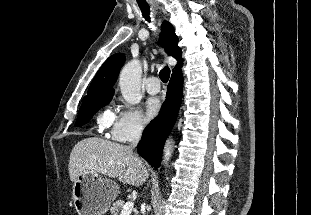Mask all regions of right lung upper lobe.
<instances>
[{
	"instance_id": "1",
	"label": "right lung upper lobe",
	"mask_w": 311,
	"mask_h": 215,
	"mask_svg": "<svg viewBox=\"0 0 311 215\" xmlns=\"http://www.w3.org/2000/svg\"><path fill=\"white\" fill-rule=\"evenodd\" d=\"M161 31L162 45L167 54L179 60L178 65L173 70L174 73L180 70L182 64L180 61L181 50L177 45L178 37L175 34L173 26L167 21L162 23ZM124 62V54L118 53L110 56L98 70L82 102L98 97L113 96L114 89L112 87Z\"/></svg>"
}]
</instances>
